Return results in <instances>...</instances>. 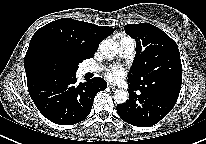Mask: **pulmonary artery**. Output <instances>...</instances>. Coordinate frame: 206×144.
Wrapping results in <instances>:
<instances>
[{
    "mask_svg": "<svg viewBox=\"0 0 206 144\" xmlns=\"http://www.w3.org/2000/svg\"><path fill=\"white\" fill-rule=\"evenodd\" d=\"M119 54L122 58H130L135 51L136 42L134 39L128 36H124L119 39ZM100 69L98 66H84L82 71L84 73L96 72Z\"/></svg>",
    "mask_w": 206,
    "mask_h": 144,
    "instance_id": "e3ab8cb5",
    "label": "pulmonary artery"
}]
</instances>
